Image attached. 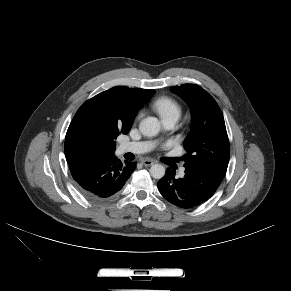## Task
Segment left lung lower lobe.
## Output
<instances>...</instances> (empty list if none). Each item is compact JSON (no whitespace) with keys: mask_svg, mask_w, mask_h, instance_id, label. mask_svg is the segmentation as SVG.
I'll return each mask as SVG.
<instances>
[{"mask_svg":"<svg viewBox=\"0 0 291 291\" xmlns=\"http://www.w3.org/2000/svg\"><path fill=\"white\" fill-rule=\"evenodd\" d=\"M185 176L176 178L171 169L158 182L162 196L175 206L191 208L208 200L224 176L196 166H185Z\"/></svg>","mask_w":291,"mask_h":291,"instance_id":"left-lung-lower-lobe-1","label":"left lung lower lobe"}]
</instances>
